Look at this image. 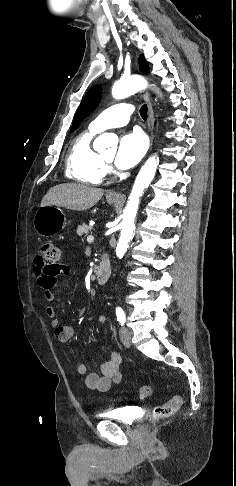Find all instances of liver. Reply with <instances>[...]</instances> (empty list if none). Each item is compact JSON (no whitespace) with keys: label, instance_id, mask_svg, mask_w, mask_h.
<instances>
[{"label":"liver","instance_id":"6515ba94","mask_svg":"<svg viewBox=\"0 0 236 486\" xmlns=\"http://www.w3.org/2000/svg\"><path fill=\"white\" fill-rule=\"evenodd\" d=\"M99 188L83 184L67 183L52 187L44 196L41 206L54 205L75 211H85L93 207L103 196Z\"/></svg>","mask_w":236,"mask_h":486}]
</instances>
